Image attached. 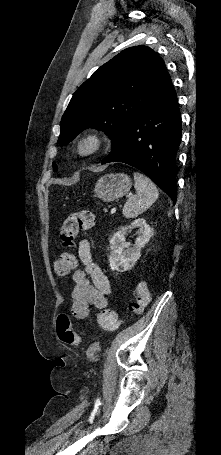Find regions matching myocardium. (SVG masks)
Listing matches in <instances>:
<instances>
[{"instance_id":"myocardium-1","label":"myocardium","mask_w":221,"mask_h":455,"mask_svg":"<svg viewBox=\"0 0 221 455\" xmlns=\"http://www.w3.org/2000/svg\"><path fill=\"white\" fill-rule=\"evenodd\" d=\"M103 137L97 131H89L81 135L76 142V152L81 157L97 153L103 146Z\"/></svg>"}]
</instances>
